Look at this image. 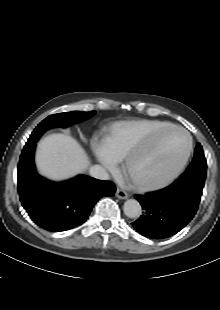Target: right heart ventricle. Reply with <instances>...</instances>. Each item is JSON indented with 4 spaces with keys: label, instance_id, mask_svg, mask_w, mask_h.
Here are the masks:
<instances>
[{
    "label": "right heart ventricle",
    "instance_id": "1",
    "mask_svg": "<svg viewBox=\"0 0 220 310\" xmlns=\"http://www.w3.org/2000/svg\"><path fill=\"white\" fill-rule=\"evenodd\" d=\"M171 125L157 120H140L117 125L102 143V150L114 161H122L133 149L158 130Z\"/></svg>",
    "mask_w": 220,
    "mask_h": 310
}]
</instances>
